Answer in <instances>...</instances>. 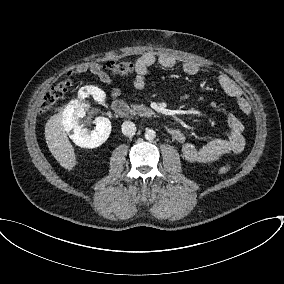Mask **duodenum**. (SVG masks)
<instances>
[{
    "mask_svg": "<svg viewBox=\"0 0 284 284\" xmlns=\"http://www.w3.org/2000/svg\"><path fill=\"white\" fill-rule=\"evenodd\" d=\"M112 109L117 115H119L123 118L130 117V114H131L130 108H129L128 104L125 103L122 100L113 101ZM168 132H169L170 136H172V137L177 134V131L175 129H170Z\"/></svg>",
    "mask_w": 284,
    "mask_h": 284,
    "instance_id": "duodenum-1",
    "label": "duodenum"
}]
</instances>
